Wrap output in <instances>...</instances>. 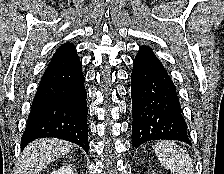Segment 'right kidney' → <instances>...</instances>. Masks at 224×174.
<instances>
[{
	"mask_svg": "<svg viewBox=\"0 0 224 174\" xmlns=\"http://www.w3.org/2000/svg\"><path fill=\"white\" fill-rule=\"evenodd\" d=\"M51 174H74L71 165L65 164L60 169L53 171Z\"/></svg>",
	"mask_w": 224,
	"mask_h": 174,
	"instance_id": "obj_1",
	"label": "right kidney"
}]
</instances>
